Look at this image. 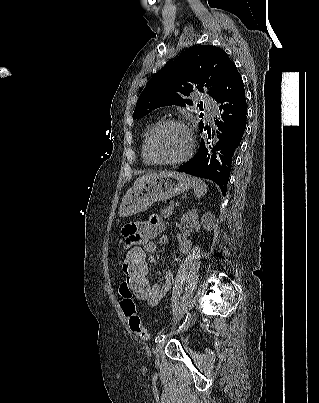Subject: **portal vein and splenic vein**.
Here are the masks:
<instances>
[{"instance_id":"1","label":"portal vein and splenic vein","mask_w":319,"mask_h":403,"mask_svg":"<svg viewBox=\"0 0 319 403\" xmlns=\"http://www.w3.org/2000/svg\"><path fill=\"white\" fill-rule=\"evenodd\" d=\"M170 204H171V205H174V201H171ZM177 205H178V204H177Z\"/></svg>"}]
</instances>
